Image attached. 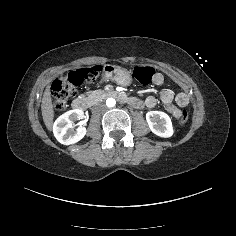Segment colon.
<instances>
[{
  "label": "colon",
  "instance_id": "1",
  "mask_svg": "<svg viewBox=\"0 0 236 236\" xmlns=\"http://www.w3.org/2000/svg\"><path fill=\"white\" fill-rule=\"evenodd\" d=\"M100 72L101 67L97 65L71 71L58 77L52 84V99L55 109H64L68 100L76 93L77 88L83 82L96 81ZM134 76L141 84H149L155 77V71L150 67H137L134 70ZM179 118L182 123L187 122L188 113L182 112Z\"/></svg>",
  "mask_w": 236,
  "mask_h": 236
}]
</instances>
